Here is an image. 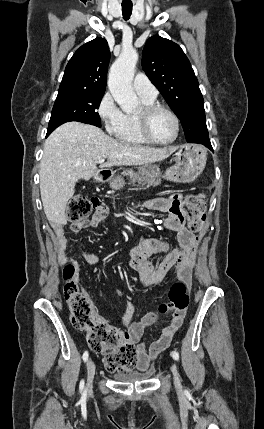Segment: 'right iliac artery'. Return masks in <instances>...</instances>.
<instances>
[{"instance_id":"obj_1","label":"right iliac artery","mask_w":264,"mask_h":429,"mask_svg":"<svg viewBox=\"0 0 264 429\" xmlns=\"http://www.w3.org/2000/svg\"><path fill=\"white\" fill-rule=\"evenodd\" d=\"M88 356H89L88 351H85V352L83 353V356H82V358H83L84 362H86V361L88 360Z\"/></svg>"}]
</instances>
